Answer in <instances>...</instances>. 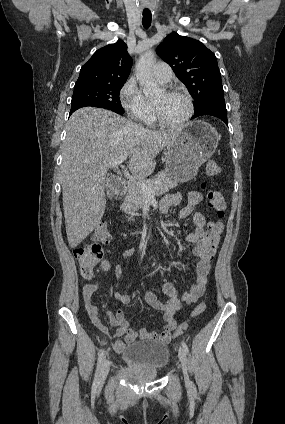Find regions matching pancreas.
Returning a JSON list of instances; mask_svg holds the SVG:
<instances>
[{
    "mask_svg": "<svg viewBox=\"0 0 285 424\" xmlns=\"http://www.w3.org/2000/svg\"><path fill=\"white\" fill-rule=\"evenodd\" d=\"M145 183L149 187H158V189L151 194L152 197L166 193L177 185V181L169 177L166 171L157 174L152 179L145 181ZM146 199L147 196L140 188L130 186L125 201L122 204V209L126 214L131 216V219L134 215H136L138 209L145 204Z\"/></svg>",
    "mask_w": 285,
    "mask_h": 424,
    "instance_id": "obj_1",
    "label": "pancreas"
}]
</instances>
